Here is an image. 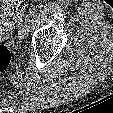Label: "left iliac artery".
<instances>
[{"mask_svg": "<svg viewBox=\"0 0 113 113\" xmlns=\"http://www.w3.org/2000/svg\"><path fill=\"white\" fill-rule=\"evenodd\" d=\"M35 13H36V8H32V9L29 11L28 15L26 16V19H25L26 22L32 21L33 18H34V16H35Z\"/></svg>", "mask_w": 113, "mask_h": 113, "instance_id": "obj_1", "label": "left iliac artery"}]
</instances>
